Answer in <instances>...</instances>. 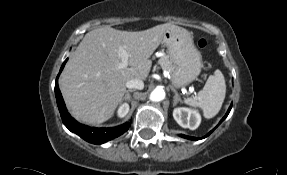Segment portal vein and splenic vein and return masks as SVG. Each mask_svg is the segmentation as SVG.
Instances as JSON below:
<instances>
[{
  "instance_id": "1",
  "label": "portal vein and splenic vein",
  "mask_w": 287,
  "mask_h": 175,
  "mask_svg": "<svg viewBox=\"0 0 287 175\" xmlns=\"http://www.w3.org/2000/svg\"><path fill=\"white\" fill-rule=\"evenodd\" d=\"M119 56L121 57V63H119L118 68H126L128 66L129 53L121 48L119 50Z\"/></svg>"
}]
</instances>
